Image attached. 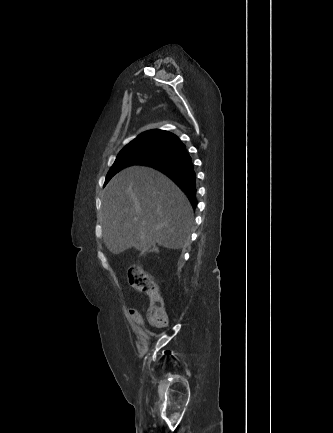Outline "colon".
Wrapping results in <instances>:
<instances>
[{"label": "colon", "mask_w": 333, "mask_h": 433, "mask_svg": "<svg viewBox=\"0 0 333 433\" xmlns=\"http://www.w3.org/2000/svg\"><path fill=\"white\" fill-rule=\"evenodd\" d=\"M129 285L149 296L150 307L148 319L156 327H164L167 324V315L163 301L159 295L158 287L152 277L140 266H132L128 270Z\"/></svg>", "instance_id": "colon-1"}]
</instances>
